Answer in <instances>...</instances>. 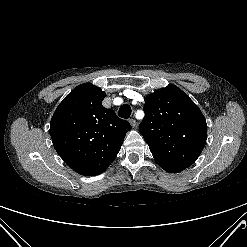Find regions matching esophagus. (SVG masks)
<instances>
[{"mask_svg": "<svg viewBox=\"0 0 247 247\" xmlns=\"http://www.w3.org/2000/svg\"><path fill=\"white\" fill-rule=\"evenodd\" d=\"M129 122H130V124H131V126H132L133 128L136 127L137 123H136V120H135V119L132 118V119L129 120Z\"/></svg>", "mask_w": 247, "mask_h": 247, "instance_id": "esophagus-1", "label": "esophagus"}]
</instances>
